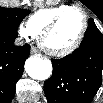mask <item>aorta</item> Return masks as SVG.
I'll use <instances>...</instances> for the list:
<instances>
[{"label":"aorta","instance_id":"obj_1","mask_svg":"<svg viewBox=\"0 0 103 103\" xmlns=\"http://www.w3.org/2000/svg\"><path fill=\"white\" fill-rule=\"evenodd\" d=\"M27 74L36 80H46L52 74V63L48 59L30 57L25 63Z\"/></svg>","mask_w":103,"mask_h":103}]
</instances>
